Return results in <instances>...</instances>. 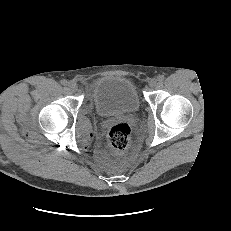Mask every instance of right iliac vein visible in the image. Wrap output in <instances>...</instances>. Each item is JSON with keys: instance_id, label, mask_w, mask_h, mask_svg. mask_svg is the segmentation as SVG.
Masks as SVG:
<instances>
[{"instance_id": "63e3f726", "label": "right iliac vein", "mask_w": 231, "mask_h": 231, "mask_svg": "<svg viewBox=\"0 0 231 231\" xmlns=\"http://www.w3.org/2000/svg\"><path fill=\"white\" fill-rule=\"evenodd\" d=\"M69 90L75 92L78 89V86L75 82L71 81L68 83Z\"/></svg>"}]
</instances>
